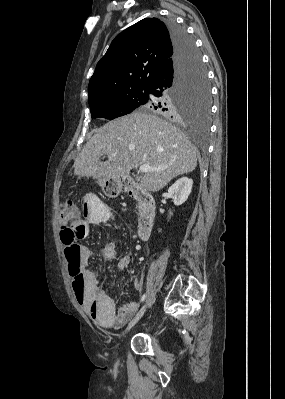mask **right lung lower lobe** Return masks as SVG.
<instances>
[{
  "label": "right lung lower lobe",
  "mask_w": 285,
  "mask_h": 399,
  "mask_svg": "<svg viewBox=\"0 0 285 399\" xmlns=\"http://www.w3.org/2000/svg\"><path fill=\"white\" fill-rule=\"evenodd\" d=\"M167 27L171 35L174 55L168 67L158 73L150 85L151 93L155 97H164L170 93L171 89L180 81L196 52L194 42L183 27L173 21L169 22ZM162 105L168 112L173 110L171 100L165 99Z\"/></svg>",
  "instance_id": "98d812e1"
}]
</instances>
